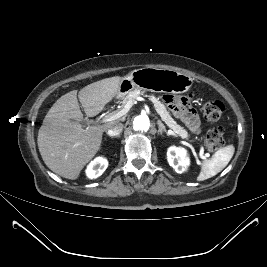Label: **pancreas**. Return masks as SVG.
Listing matches in <instances>:
<instances>
[{
  "label": "pancreas",
  "instance_id": "pancreas-1",
  "mask_svg": "<svg viewBox=\"0 0 267 267\" xmlns=\"http://www.w3.org/2000/svg\"><path fill=\"white\" fill-rule=\"evenodd\" d=\"M140 95H145V93L137 89L131 91L129 94H127L125 98H123L122 107L124 108L129 101L134 102L135 99ZM148 97L154 104L155 110L161 116L162 120L167 124V126L171 128L173 132L176 133L178 136L188 140L189 133L186 131V129H184L183 127L178 125L176 121H174V119L170 116L169 112L167 111L165 105L161 101H159V99L156 98L154 95H149Z\"/></svg>",
  "mask_w": 267,
  "mask_h": 267
}]
</instances>
